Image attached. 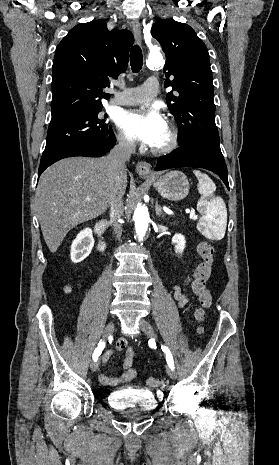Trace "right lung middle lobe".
<instances>
[{
    "label": "right lung middle lobe",
    "mask_w": 279,
    "mask_h": 465,
    "mask_svg": "<svg viewBox=\"0 0 279 465\" xmlns=\"http://www.w3.org/2000/svg\"><path fill=\"white\" fill-rule=\"evenodd\" d=\"M101 109L102 107H97L58 123L50 124L41 162L78 142H99L112 137L114 134L111 126L106 123L105 119L98 116ZM104 118H107V115Z\"/></svg>",
    "instance_id": "1"
}]
</instances>
